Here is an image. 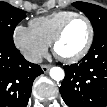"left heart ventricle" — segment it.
<instances>
[{"label": "left heart ventricle", "mask_w": 107, "mask_h": 107, "mask_svg": "<svg viewBox=\"0 0 107 107\" xmlns=\"http://www.w3.org/2000/svg\"><path fill=\"white\" fill-rule=\"evenodd\" d=\"M89 29L83 19L73 20L67 27L56 51L62 57H71L79 53L85 46Z\"/></svg>", "instance_id": "b2bd125f"}]
</instances>
